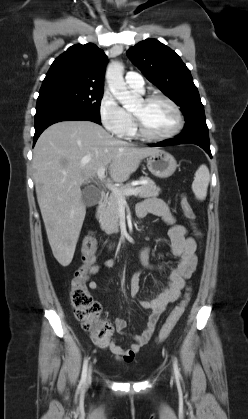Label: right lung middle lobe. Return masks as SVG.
<instances>
[{
    "mask_svg": "<svg viewBox=\"0 0 248 419\" xmlns=\"http://www.w3.org/2000/svg\"><path fill=\"white\" fill-rule=\"evenodd\" d=\"M103 90L56 86L40 89L36 112L57 108H75L100 119Z\"/></svg>",
    "mask_w": 248,
    "mask_h": 419,
    "instance_id": "1",
    "label": "right lung middle lobe"
}]
</instances>
